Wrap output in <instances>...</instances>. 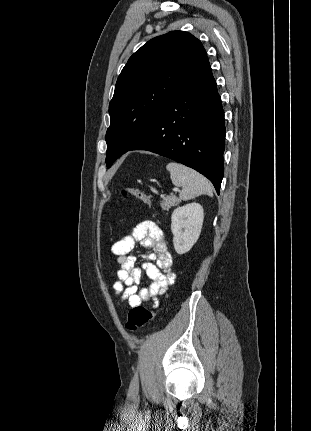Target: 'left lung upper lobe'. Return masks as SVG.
Returning <instances> with one entry per match:
<instances>
[{
	"label": "left lung upper lobe",
	"instance_id": "left-lung-upper-lobe-1",
	"mask_svg": "<svg viewBox=\"0 0 311 431\" xmlns=\"http://www.w3.org/2000/svg\"><path fill=\"white\" fill-rule=\"evenodd\" d=\"M206 57L202 43L184 31L153 38L130 57L109 104L108 168L148 134L166 104Z\"/></svg>",
	"mask_w": 311,
	"mask_h": 431
}]
</instances>
